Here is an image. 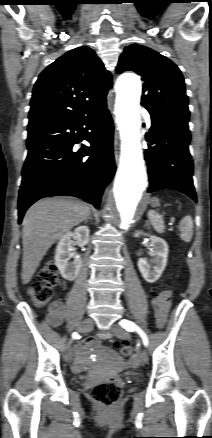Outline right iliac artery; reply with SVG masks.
Listing matches in <instances>:
<instances>
[{"instance_id": "right-iliac-artery-1", "label": "right iliac artery", "mask_w": 212, "mask_h": 438, "mask_svg": "<svg viewBox=\"0 0 212 438\" xmlns=\"http://www.w3.org/2000/svg\"><path fill=\"white\" fill-rule=\"evenodd\" d=\"M81 336L78 334V333H76V332H74L73 334H72V338L73 339H79Z\"/></svg>"}]
</instances>
